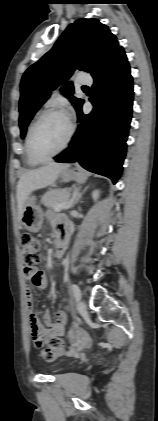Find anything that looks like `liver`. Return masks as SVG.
<instances>
[{"mask_svg":"<svg viewBox=\"0 0 158 421\" xmlns=\"http://www.w3.org/2000/svg\"><path fill=\"white\" fill-rule=\"evenodd\" d=\"M70 165L65 163H51L38 169L30 170L20 176L17 184L18 218L21 219L25 202L29 195L36 190L53 184L60 172Z\"/></svg>","mask_w":158,"mask_h":421,"instance_id":"obj_1","label":"liver"}]
</instances>
